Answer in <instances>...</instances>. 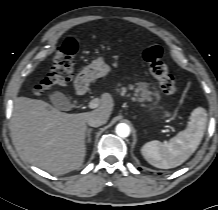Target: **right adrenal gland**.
<instances>
[{
  "mask_svg": "<svg viewBox=\"0 0 218 210\" xmlns=\"http://www.w3.org/2000/svg\"><path fill=\"white\" fill-rule=\"evenodd\" d=\"M91 131H92V129H88V133H87V142L88 143L91 141Z\"/></svg>",
  "mask_w": 218,
  "mask_h": 210,
  "instance_id": "right-adrenal-gland-1",
  "label": "right adrenal gland"
}]
</instances>
